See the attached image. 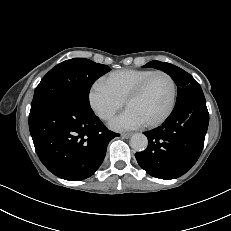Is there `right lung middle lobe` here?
Wrapping results in <instances>:
<instances>
[{
  "instance_id": "1",
  "label": "right lung middle lobe",
  "mask_w": 231,
  "mask_h": 231,
  "mask_svg": "<svg viewBox=\"0 0 231 231\" xmlns=\"http://www.w3.org/2000/svg\"><path fill=\"white\" fill-rule=\"evenodd\" d=\"M110 70L107 65L85 58H73L56 65L36 87L30 111L59 95H70L89 104L92 84Z\"/></svg>"
}]
</instances>
